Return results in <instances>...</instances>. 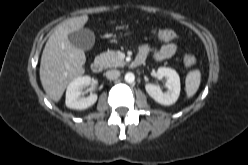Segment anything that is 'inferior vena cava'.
I'll return each mask as SVG.
<instances>
[{
  "label": "inferior vena cava",
  "mask_w": 248,
  "mask_h": 165,
  "mask_svg": "<svg viewBox=\"0 0 248 165\" xmlns=\"http://www.w3.org/2000/svg\"><path fill=\"white\" fill-rule=\"evenodd\" d=\"M120 76V71L119 70H108L106 72V77L109 80H115Z\"/></svg>",
  "instance_id": "602c4592"
}]
</instances>
